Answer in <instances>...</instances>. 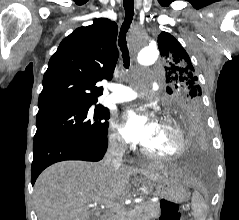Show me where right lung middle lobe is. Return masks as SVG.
<instances>
[{
	"label": "right lung middle lobe",
	"instance_id": "obj_1",
	"mask_svg": "<svg viewBox=\"0 0 239 220\" xmlns=\"http://www.w3.org/2000/svg\"><path fill=\"white\" fill-rule=\"evenodd\" d=\"M109 110L102 105L66 106L39 110L34 143L46 139L106 140Z\"/></svg>",
	"mask_w": 239,
	"mask_h": 220
}]
</instances>
